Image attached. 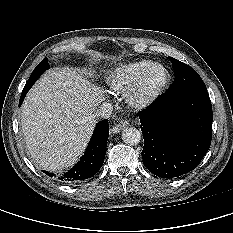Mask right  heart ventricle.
<instances>
[{"instance_id":"obj_1","label":"right heart ventricle","mask_w":233,"mask_h":233,"mask_svg":"<svg viewBox=\"0 0 233 233\" xmlns=\"http://www.w3.org/2000/svg\"><path fill=\"white\" fill-rule=\"evenodd\" d=\"M154 64L156 63L151 60H138L120 64L107 72L105 81L113 91L125 93Z\"/></svg>"}]
</instances>
